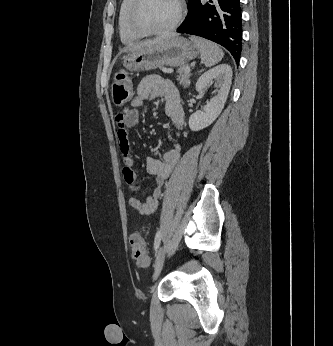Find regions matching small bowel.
<instances>
[{
  "label": "small bowel",
  "mask_w": 333,
  "mask_h": 346,
  "mask_svg": "<svg viewBox=\"0 0 333 346\" xmlns=\"http://www.w3.org/2000/svg\"><path fill=\"white\" fill-rule=\"evenodd\" d=\"M154 98L165 99V114L170 119L174 132H178L184 122V109L178 89L172 81L164 79L158 75H148L144 77L137 87V93L131 100L132 108L123 109L116 119L118 127V140L120 143L121 157L123 161V176L130 191L137 193L140 187L136 184V174L134 172V161L131 155L128 138L129 129L135 127L139 122L138 108L146 101ZM181 146L179 143L174 148L163 155L161 160L149 157L146 160V170L154 176L155 184L152 195L142 201L137 197H131L129 204L133 210L141 215H150L158 207L159 198L162 195L164 181L178 163Z\"/></svg>",
  "instance_id": "1"
}]
</instances>
